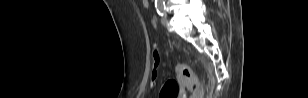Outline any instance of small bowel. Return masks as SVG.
Masks as SVG:
<instances>
[{
    "mask_svg": "<svg viewBox=\"0 0 308 98\" xmlns=\"http://www.w3.org/2000/svg\"><path fill=\"white\" fill-rule=\"evenodd\" d=\"M142 3H143V5H144L145 7H148V5H149V3H148L147 0H143Z\"/></svg>",
    "mask_w": 308,
    "mask_h": 98,
    "instance_id": "1",
    "label": "small bowel"
}]
</instances>
